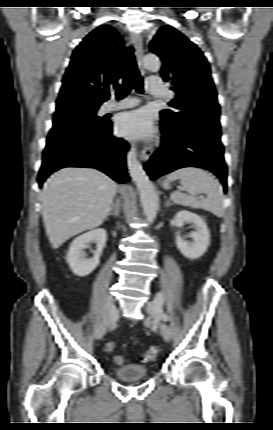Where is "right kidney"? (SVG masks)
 <instances>
[{
	"instance_id": "right-kidney-1",
	"label": "right kidney",
	"mask_w": 273,
	"mask_h": 430,
	"mask_svg": "<svg viewBox=\"0 0 273 430\" xmlns=\"http://www.w3.org/2000/svg\"><path fill=\"white\" fill-rule=\"evenodd\" d=\"M106 238V231L102 228H98L77 237L70 244L66 260L71 271L75 275L85 277L92 273V271L98 266L100 255L106 243ZM90 243H96L97 248L94 252V256L87 259L83 250Z\"/></svg>"
}]
</instances>
